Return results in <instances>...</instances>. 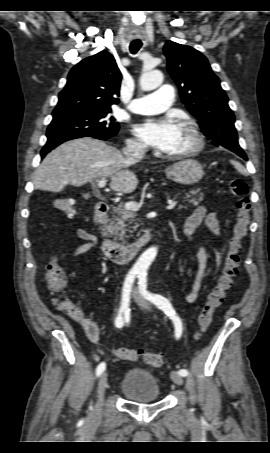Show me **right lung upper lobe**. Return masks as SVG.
Returning <instances> with one entry per match:
<instances>
[{
  "mask_svg": "<svg viewBox=\"0 0 270 453\" xmlns=\"http://www.w3.org/2000/svg\"><path fill=\"white\" fill-rule=\"evenodd\" d=\"M122 75L113 56L101 51L88 57L69 72L67 84L59 93L53 118L86 111L111 110L117 104Z\"/></svg>",
  "mask_w": 270,
  "mask_h": 453,
  "instance_id": "right-lung-upper-lobe-1",
  "label": "right lung upper lobe"
}]
</instances>
